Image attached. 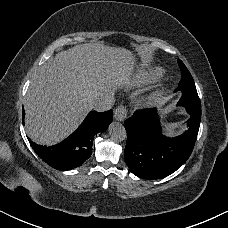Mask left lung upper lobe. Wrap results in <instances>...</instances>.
<instances>
[{"mask_svg":"<svg viewBox=\"0 0 228 228\" xmlns=\"http://www.w3.org/2000/svg\"><path fill=\"white\" fill-rule=\"evenodd\" d=\"M178 65L182 72L181 81L179 82L178 88L175 90L182 92V97L178 102V105L186 108L189 106L190 102H195L196 106L192 107L201 109L200 99L190 72L181 60H178Z\"/></svg>","mask_w":228,"mask_h":228,"instance_id":"left-lung-upper-lobe-1","label":"left lung upper lobe"}]
</instances>
